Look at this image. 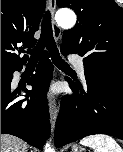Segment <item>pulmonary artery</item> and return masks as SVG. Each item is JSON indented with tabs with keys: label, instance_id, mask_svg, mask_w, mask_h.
<instances>
[{
	"label": "pulmonary artery",
	"instance_id": "pulmonary-artery-1",
	"mask_svg": "<svg viewBox=\"0 0 123 152\" xmlns=\"http://www.w3.org/2000/svg\"><path fill=\"white\" fill-rule=\"evenodd\" d=\"M70 61L75 65L80 76L84 77V65L78 56H71Z\"/></svg>",
	"mask_w": 123,
	"mask_h": 152
}]
</instances>
